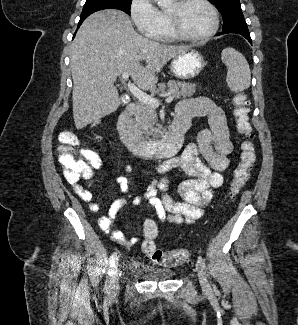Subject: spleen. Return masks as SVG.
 Wrapping results in <instances>:
<instances>
[{
	"mask_svg": "<svg viewBox=\"0 0 298 325\" xmlns=\"http://www.w3.org/2000/svg\"><path fill=\"white\" fill-rule=\"evenodd\" d=\"M221 60L226 64V82L233 92H242L249 88L251 82V70L242 52H238L232 46H226L221 52Z\"/></svg>",
	"mask_w": 298,
	"mask_h": 325,
	"instance_id": "obj_1",
	"label": "spleen"
}]
</instances>
